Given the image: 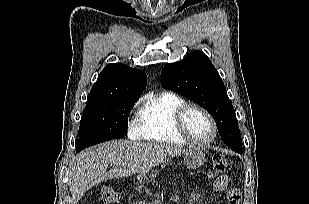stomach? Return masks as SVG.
<instances>
[{"label":"stomach","instance_id":"obj_1","mask_svg":"<svg viewBox=\"0 0 309 204\" xmlns=\"http://www.w3.org/2000/svg\"><path fill=\"white\" fill-rule=\"evenodd\" d=\"M204 162L205 153L200 148H193L184 153V164L188 169H198ZM159 172L160 170L158 168H151L147 171L138 173L137 180L143 184L153 182Z\"/></svg>","mask_w":309,"mask_h":204}]
</instances>
